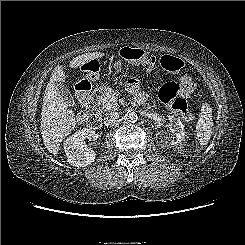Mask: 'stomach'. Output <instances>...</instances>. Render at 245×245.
<instances>
[{
    "instance_id": "obj_1",
    "label": "stomach",
    "mask_w": 245,
    "mask_h": 245,
    "mask_svg": "<svg viewBox=\"0 0 245 245\" xmlns=\"http://www.w3.org/2000/svg\"><path fill=\"white\" fill-rule=\"evenodd\" d=\"M90 62L86 63L83 65V68L85 69V71L87 72L86 74V79L91 82V81H95L98 78V73L89 69V64ZM113 67L117 72H120L122 70V61L121 60H116L115 62H113Z\"/></svg>"
}]
</instances>
